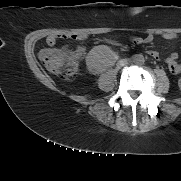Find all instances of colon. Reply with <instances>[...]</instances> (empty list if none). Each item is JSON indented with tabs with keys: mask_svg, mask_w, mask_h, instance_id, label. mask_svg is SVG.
Wrapping results in <instances>:
<instances>
[{
	"mask_svg": "<svg viewBox=\"0 0 181 181\" xmlns=\"http://www.w3.org/2000/svg\"><path fill=\"white\" fill-rule=\"evenodd\" d=\"M40 60L47 70L62 80H73L77 74V57L74 54L54 49H45L40 52ZM181 90V77L178 80Z\"/></svg>",
	"mask_w": 181,
	"mask_h": 181,
	"instance_id": "5ec220e1",
	"label": "colon"
}]
</instances>
